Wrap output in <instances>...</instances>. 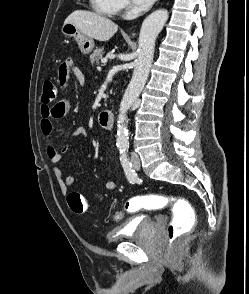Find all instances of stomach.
<instances>
[{"instance_id": "obj_1", "label": "stomach", "mask_w": 249, "mask_h": 294, "mask_svg": "<svg viewBox=\"0 0 249 294\" xmlns=\"http://www.w3.org/2000/svg\"><path fill=\"white\" fill-rule=\"evenodd\" d=\"M61 32L65 37H73L83 54H89L93 50V39L83 34L74 24L64 23Z\"/></svg>"}]
</instances>
